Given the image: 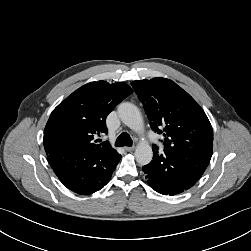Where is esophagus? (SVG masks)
<instances>
[{"instance_id": "1", "label": "esophagus", "mask_w": 251, "mask_h": 251, "mask_svg": "<svg viewBox=\"0 0 251 251\" xmlns=\"http://www.w3.org/2000/svg\"><path fill=\"white\" fill-rule=\"evenodd\" d=\"M134 149H135L134 146H127V147H125V150H126L127 152H131V151H133Z\"/></svg>"}]
</instances>
